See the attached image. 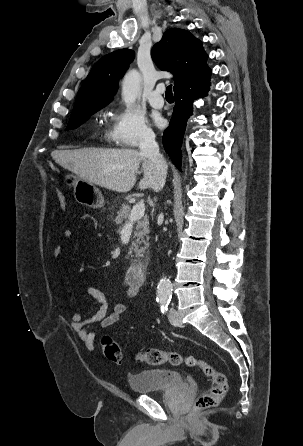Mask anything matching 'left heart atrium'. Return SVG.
I'll list each match as a JSON object with an SVG mask.
<instances>
[{"label":"left heart atrium","mask_w":303,"mask_h":446,"mask_svg":"<svg viewBox=\"0 0 303 446\" xmlns=\"http://www.w3.org/2000/svg\"><path fill=\"white\" fill-rule=\"evenodd\" d=\"M155 122H156V124H157L158 126H162V125L164 124L163 119L160 118V117H156V118H155Z\"/></svg>","instance_id":"39dd6f15"}]
</instances>
